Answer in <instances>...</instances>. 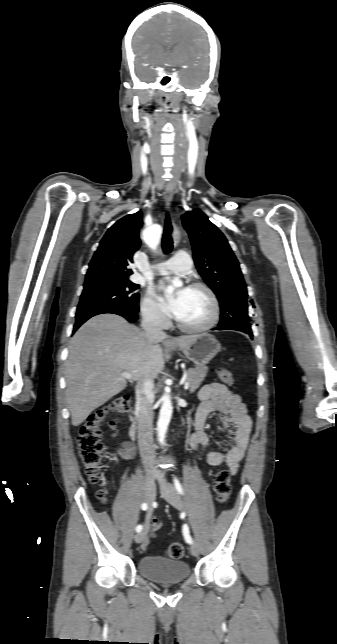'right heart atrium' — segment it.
Returning a JSON list of instances; mask_svg holds the SVG:
<instances>
[{
    "mask_svg": "<svg viewBox=\"0 0 337 644\" xmlns=\"http://www.w3.org/2000/svg\"><path fill=\"white\" fill-rule=\"evenodd\" d=\"M141 312L145 321L152 325L164 326L167 323V316L151 290L146 293L142 301Z\"/></svg>",
    "mask_w": 337,
    "mask_h": 644,
    "instance_id": "obj_1",
    "label": "right heart atrium"
}]
</instances>
